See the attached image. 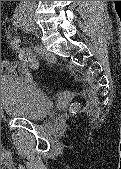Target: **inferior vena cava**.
Segmentation results:
<instances>
[{"mask_svg": "<svg viewBox=\"0 0 121 169\" xmlns=\"http://www.w3.org/2000/svg\"><path fill=\"white\" fill-rule=\"evenodd\" d=\"M23 2L27 4H33L35 1H23Z\"/></svg>", "mask_w": 121, "mask_h": 169, "instance_id": "1", "label": "inferior vena cava"}]
</instances>
